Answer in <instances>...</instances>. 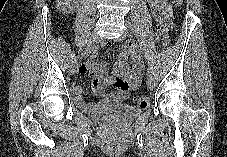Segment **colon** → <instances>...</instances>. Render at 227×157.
Masks as SVG:
<instances>
[{"mask_svg": "<svg viewBox=\"0 0 227 157\" xmlns=\"http://www.w3.org/2000/svg\"><path fill=\"white\" fill-rule=\"evenodd\" d=\"M176 6L180 5L182 0H173ZM156 36L158 41L163 45L167 46L169 43V30L166 24L161 20L156 26ZM135 104L140 108H147L149 105V99L145 96H136L134 97Z\"/></svg>", "mask_w": 227, "mask_h": 157, "instance_id": "obj_1", "label": "colon"}]
</instances>
